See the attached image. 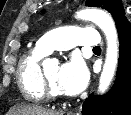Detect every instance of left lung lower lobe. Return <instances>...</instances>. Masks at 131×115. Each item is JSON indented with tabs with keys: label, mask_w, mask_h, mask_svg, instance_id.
<instances>
[{
	"label": "left lung lower lobe",
	"mask_w": 131,
	"mask_h": 115,
	"mask_svg": "<svg viewBox=\"0 0 131 115\" xmlns=\"http://www.w3.org/2000/svg\"><path fill=\"white\" fill-rule=\"evenodd\" d=\"M120 42L116 81L105 96L90 95L82 115H131V25L126 18L117 26Z\"/></svg>",
	"instance_id": "1"
}]
</instances>
